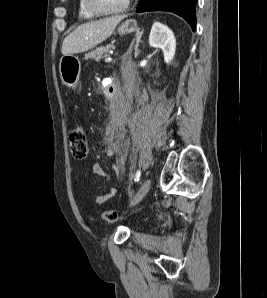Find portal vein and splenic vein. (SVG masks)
Instances as JSON below:
<instances>
[{
    "instance_id": "portal-vein-and-splenic-vein-1",
    "label": "portal vein and splenic vein",
    "mask_w": 267,
    "mask_h": 298,
    "mask_svg": "<svg viewBox=\"0 0 267 298\" xmlns=\"http://www.w3.org/2000/svg\"><path fill=\"white\" fill-rule=\"evenodd\" d=\"M105 60H106V61H110V60H111V57L108 56Z\"/></svg>"
}]
</instances>
